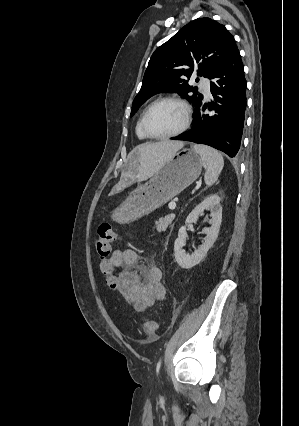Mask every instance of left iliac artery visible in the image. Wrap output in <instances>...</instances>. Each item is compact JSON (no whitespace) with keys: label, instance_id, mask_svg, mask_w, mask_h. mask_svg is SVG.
I'll list each match as a JSON object with an SVG mask.
<instances>
[{"label":"left iliac artery","instance_id":"1","mask_svg":"<svg viewBox=\"0 0 299 426\" xmlns=\"http://www.w3.org/2000/svg\"><path fill=\"white\" fill-rule=\"evenodd\" d=\"M161 358H160V360L158 361V363H157V367H156V374L158 375L159 374V370H160V367H161Z\"/></svg>","mask_w":299,"mask_h":426}]
</instances>
